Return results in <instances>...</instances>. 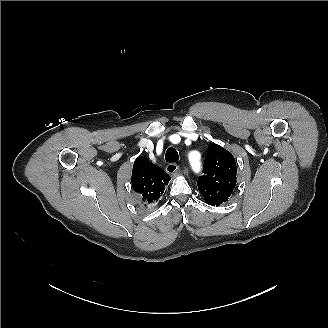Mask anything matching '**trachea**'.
Listing matches in <instances>:
<instances>
[{
  "label": "trachea",
  "mask_w": 328,
  "mask_h": 328,
  "mask_svg": "<svg viewBox=\"0 0 328 328\" xmlns=\"http://www.w3.org/2000/svg\"><path fill=\"white\" fill-rule=\"evenodd\" d=\"M165 160L168 163L177 162L179 160L178 152L173 147L168 148L166 151Z\"/></svg>",
  "instance_id": "obj_1"
}]
</instances>
